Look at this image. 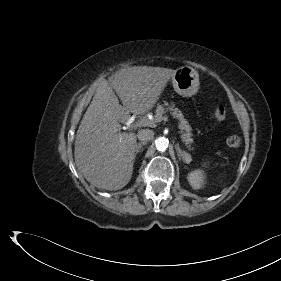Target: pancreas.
Here are the masks:
<instances>
[{"instance_id":"pancreas-1","label":"pancreas","mask_w":281,"mask_h":281,"mask_svg":"<svg viewBox=\"0 0 281 281\" xmlns=\"http://www.w3.org/2000/svg\"><path fill=\"white\" fill-rule=\"evenodd\" d=\"M167 106V107H165ZM167 111H171V115L179 120L178 128L180 129L182 141L190 148V144L193 143L192 139V127L188 121L184 118L183 114L178 108H174V104L169 105L168 103L157 105L155 111V122H161L163 120V114Z\"/></svg>"}]
</instances>
